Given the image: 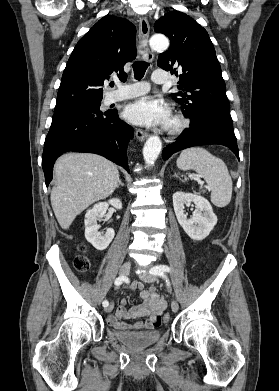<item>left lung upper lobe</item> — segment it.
I'll return each instance as SVG.
<instances>
[{
	"mask_svg": "<svg viewBox=\"0 0 279 391\" xmlns=\"http://www.w3.org/2000/svg\"><path fill=\"white\" fill-rule=\"evenodd\" d=\"M157 33L171 41L170 48L159 55L158 66L172 74L179 73L178 89L172 96L190 119L200 114H214L232 122L226 85L214 46L207 31L193 18L172 11L154 24Z\"/></svg>",
	"mask_w": 279,
	"mask_h": 391,
	"instance_id": "left-lung-upper-lobe-1",
	"label": "left lung upper lobe"
}]
</instances>
